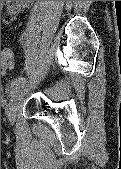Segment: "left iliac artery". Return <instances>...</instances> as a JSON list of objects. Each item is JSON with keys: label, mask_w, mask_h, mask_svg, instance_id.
<instances>
[{"label": "left iliac artery", "mask_w": 121, "mask_h": 169, "mask_svg": "<svg viewBox=\"0 0 121 169\" xmlns=\"http://www.w3.org/2000/svg\"><path fill=\"white\" fill-rule=\"evenodd\" d=\"M17 37L19 38L20 36L18 35ZM25 83H26V78L24 77H18L14 79L10 84L11 93H14L15 90L23 86Z\"/></svg>", "instance_id": "obj_1"}]
</instances>
